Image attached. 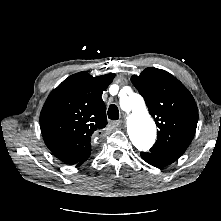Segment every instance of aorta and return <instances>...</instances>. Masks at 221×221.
<instances>
[{
    "mask_svg": "<svg viewBox=\"0 0 221 221\" xmlns=\"http://www.w3.org/2000/svg\"><path fill=\"white\" fill-rule=\"evenodd\" d=\"M120 106L128 113L127 129L131 142L139 151H147L155 142L156 126L142 98L130 93L129 97L121 99Z\"/></svg>",
    "mask_w": 221,
    "mask_h": 221,
    "instance_id": "obj_1",
    "label": "aorta"
}]
</instances>
